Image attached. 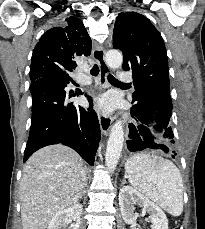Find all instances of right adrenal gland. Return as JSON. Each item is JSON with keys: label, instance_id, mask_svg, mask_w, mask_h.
<instances>
[{"label": "right adrenal gland", "instance_id": "1", "mask_svg": "<svg viewBox=\"0 0 205 229\" xmlns=\"http://www.w3.org/2000/svg\"><path fill=\"white\" fill-rule=\"evenodd\" d=\"M85 187H86V185H85ZM85 192H86V190L84 188L83 191H82V193H81V195H80V199L85 195Z\"/></svg>", "mask_w": 205, "mask_h": 229}]
</instances>
